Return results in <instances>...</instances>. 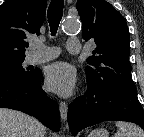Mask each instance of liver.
<instances>
[{"mask_svg": "<svg viewBox=\"0 0 144 137\" xmlns=\"http://www.w3.org/2000/svg\"><path fill=\"white\" fill-rule=\"evenodd\" d=\"M45 127L20 111L0 108V137H44Z\"/></svg>", "mask_w": 144, "mask_h": 137, "instance_id": "1", "label": "liver"}]
</instances>
